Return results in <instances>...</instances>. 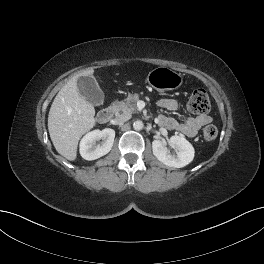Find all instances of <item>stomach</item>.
Here are the masks:
<instances>
[{"mask_svg": "<svg viewBox=\"0 0 264 264\" xmlns=\"http://www.w3.org/2000/svg\"><path fill=\"white\" fill-rule=\"evenodd\" d=\"M148 84L158 91L174 90L183 83V76L165 66L151 70L147 75Z\"/></svg>", "mask_w": 264, "mask_h": 264, "instance_id": "1", "label": "stomach"}]
</instances>
